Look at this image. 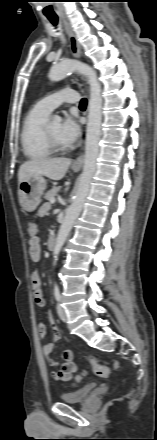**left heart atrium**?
<instances>
[{
	"label": "left heart atrium",
	"mask_w": 157,
	"mask_h": 440,
	"mask_svg": "<svg viewBox=\"0 0 157 440\" xmlns=\"http://www.w3.org/2000/svg\"><path fill=\"white\" fill-rule=\"evenodd\" d=\"M62 141L69 145L76 142L80 136V128L74 118L66 117L60 125Z\"/></svg>",
	"instance_id": "39dd6f15"
}]
</instances>
